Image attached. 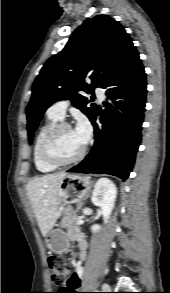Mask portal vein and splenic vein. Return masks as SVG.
Instances as JSON below:
<instances>
[{
	"label": "portal vein and splenic vein",
	"mask_w": 170,
	"mask_h": 293,
	"mask_svg": "<svg viewBox=\"0 0 170 293\" xmlns=\"http://www.w3.org/2000/svg\"><path fill=\"white\" fill-rule=\"evenodd\" d=\"M80 223H82V221H81V220H79V221H78V224H80Z\"/></svg>",
	"instance_id": "obj_1"
}]
</instances>
